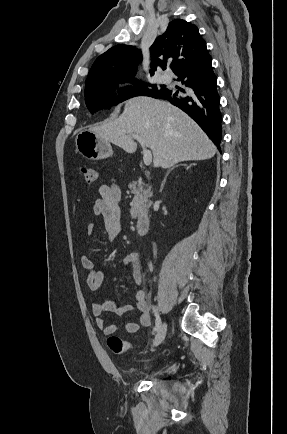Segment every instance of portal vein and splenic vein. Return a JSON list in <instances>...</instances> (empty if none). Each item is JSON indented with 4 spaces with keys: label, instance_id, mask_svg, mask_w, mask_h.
Wrapping results in <instances>:
<instances>
[{
    "label": "portal vein and splenic vein",
    "instance_id": "1",
    "mask_svg": "<svg viewBox=\"0 0 287 434\" xmlns=\"http://www.w3.org/2000/svg\"><path fill=\"white\" fill-rule=\"evenodd\" d=\"M132 137L136 139L140 145L143 147V161L146 166H149L152 162V153L150 150L146 149V143L142 137L139 135L133 134Z\"/></svg>",
    "mask_w": 287,
    "mask_h": 434
}]
</instances>
